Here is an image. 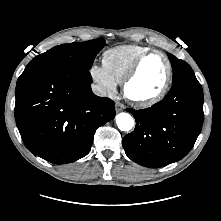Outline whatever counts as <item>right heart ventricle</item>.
<instances>
[{"mask_svg":"<svg viewBox=\"0 0 221 221\" xmlns=\"http://www.w3.org/2000/svg\"><path fill=\"white\" fill-rule=\"evenodd\" d=\"M149 49L137 44L115 46L103 53L102 64L111 78L121 84L135 60Z\"/></svg>","mask_w":221,"mask_h":221,"instance_id":"obj_1","label":"right heart ventricle"}]
</instances>
